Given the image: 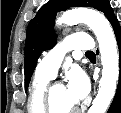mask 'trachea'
<instances>
[{
	"instance_id": "1",
	"label": "trachea",
	"mask_w": 121,
	"mask_h": 113,
	"mask_svg": "<svg viewBox=\"0 0 121 113\" xmlns=\"http://www.w3.org/2000/svg\"><path fill=\"white\" fill-rule=\"evenodd\" d=\"M86 54H94V52L88 51V52H86Z\"/></svg>"
}]
</instances>
